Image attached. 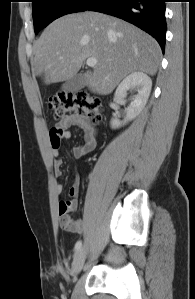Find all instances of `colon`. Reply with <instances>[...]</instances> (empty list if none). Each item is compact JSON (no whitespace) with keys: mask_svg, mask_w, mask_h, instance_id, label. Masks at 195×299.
Instances as JSON below:
<instances>
[{"mask_svg":"<svg viewBox=\"0 0 195 299\" xmlns=\"http://www.w3.org/2000/svg\"><path fill=\"white\" fill-rule=\"evenodd\" d=\"M48 106L53 111L54 117L60 119L69 113L88 116L94 120L100 118V103L84 91L61 93L51 96ZM68 209L63 214L68 213Z\"/></svg>","mask_w":195,"mask_h":299,"instance_id":"colon-1","label":"colon"}]
</instances>
